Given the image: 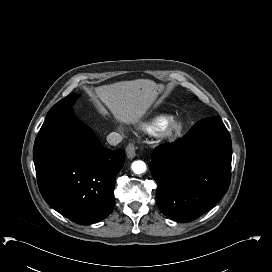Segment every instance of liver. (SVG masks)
<instances>
[{
    "label": "liver",
    "instance_id": "liver-1",
    "mask_svg": "<svg viewBox=\"0 0 272 272\" xmlns=\"http://www.w3.org/2000/svg\"><path fill=\"white\" fill-rule=\"evenodd\" d=\"M155 87L151 80L137 79L100 86L94 91L118 122L136 124L150 108Z\"/></svg>",
    "mask_w": 272,
    "mask_h": 272
}]
</instances>
